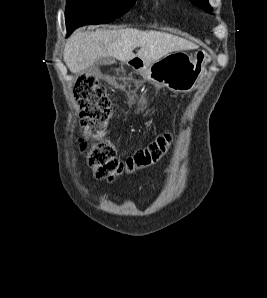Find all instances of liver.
I'll use <instances>...</instances> for the list:
<instances>
[{"label":"liver","mask_w":267,"mask_h":298,"mask_svg":"<svg viewBox=\"0 0 267 298\" xmlns=\"http://www.w3.org/2000/svg\"><path fill=\"white\" fill-rule=\"evenodd\" d=\"M140 47L135 55L133 50ZM198 48L194 43L159 31L137 29L107 30L88 32L77 30L68 39L64 50V62L72 73H80L101 58L113 57L128 62L135 57L144 62H156L175 51Z\"/></svg>","instance_id":"obj_1"}]
</instances>
